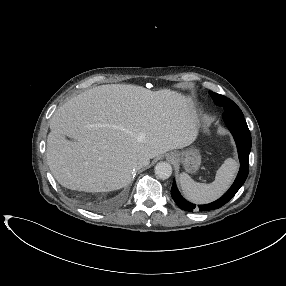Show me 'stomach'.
Instances as JSON below:
<instances>
[{
	"instance_id": "0dacf381",
	"label": "stomach",
	"mask_w": 286,
	"mask_h": 286,
	"mask_svg": "<svg viewBox=\"0 0 286 286\" xmlns=\"http://www.w3.org/2000/svg\"><path fill=\"white\" fill-rule=\"evenodd\" d=\"M173 154L176 155L178 161L184 165L185 170L189 173L197 171L201 165V155L196 148H187L181 152H172L167 156L170 157Z\"/></svg>"
}]
</instances>
